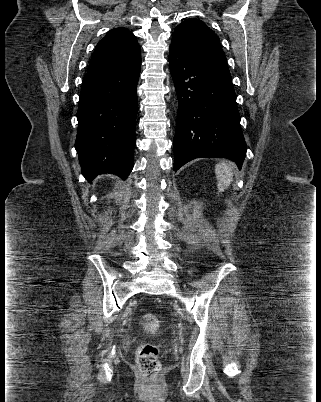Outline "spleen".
<instances>
[{"mask_svg":"<svg viewBox=\"0 0 321 402\" xmlns=\"http://www.w3.org/2000/svg\"><path fill=\"white\" fill-rule=\"evenodd\" d=\"M215 174L217 178V189L219 193L230 185L233 178V171L230 164L226 162H220L215 167Z\"/></svg>","mask_w":321,"mask_h":402,"instance_id":"1","label":"spleen"}]
</instances>
